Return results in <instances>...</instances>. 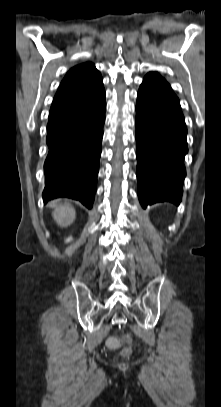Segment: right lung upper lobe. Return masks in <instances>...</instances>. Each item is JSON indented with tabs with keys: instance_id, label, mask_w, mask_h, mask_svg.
Returning a JSON list of instances; mask_svg holds the SVG:
<instances>
[{
	"instance_id": "obj_1",
	"label": "right lung upper lobe",
	"mask_w": 221,
	"mask_h": 407,
	"mask_svg": "<svg viewBox=\"0 0 221 407\" xmlns=\"http://www.w3.org/2000/svg\"><path fill=\"white\" fill-rule=\"evenodd\" d=\"M103 87L102 77L90 63L77 65L69 70L61 82L52 106L89 95Z\"/></svg>"
}]
</instances>
